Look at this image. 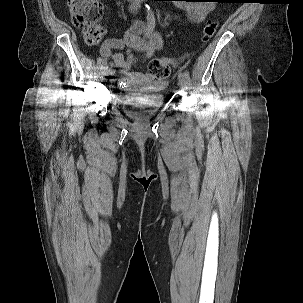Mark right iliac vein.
Segmentation results:
<instances>
[{"label": "right iliac vein", "mask_w": 303, "mask_h": 303, "mask_svg": "<svg viewBox=\"0 0 303 303\" xmlns=\"http://www.w3.org/2000/svg\"><path fill=\"white\" fill-rule=\"evenodd\" d=\"M110 81L111 82L115 81V75L114 74H110Z\"/></svg>", "instance_id": "63e3f726"}]
</instances>
